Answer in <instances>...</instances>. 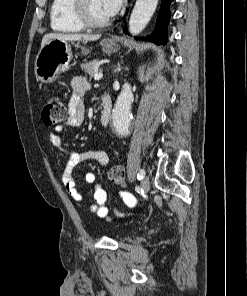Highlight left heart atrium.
<instances>
[{"label":"left heart atrium","mask_w":247,"mask_h":296,"mask_svg":"<svg viewBox=\"0 0 247 296\" xmlns=\"http://www.w3.org/2000/svg\"><path fill=\"white\" fill-rule=\"evenodd\" d=\"M123 0H101L102 8L108 17L114 16L122 5Z\"/></svg>","instance_id":"1"}]
</instances>
